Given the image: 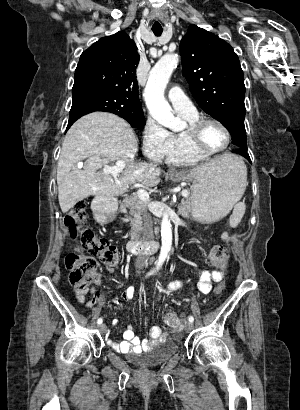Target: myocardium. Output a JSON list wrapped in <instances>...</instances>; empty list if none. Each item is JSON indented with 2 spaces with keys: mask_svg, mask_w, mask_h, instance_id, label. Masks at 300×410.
<instances>
[{
  "mask_svg": "<svg viewBox=\"0 0 300 410\" xmlns=\"http://www.w3.org/2000/svg\"><path fill=\"white\" fill-rule=\"evenodd\" d=\"M207 123L217 124L226 134L227 140L222 148L211 150L204 146L201 133L204 125ZM186 134L193 149L205 156H211L225 151L229 147L232 140L229 128L221 120L214 117H198L195 121L187 125Z\"/></svg>",
  "mask_w": 300,
  "mask_h": 410,
  "instance_id": "f54148a6",
  "label": "myocardium"
}]
</instances>
